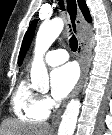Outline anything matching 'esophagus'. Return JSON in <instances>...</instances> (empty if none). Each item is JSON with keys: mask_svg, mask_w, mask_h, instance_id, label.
<instances>
[{"mask_svg": "<svg viewBox=\"0 0 112 135\" xmlns=\"http://www.w3.org/2000/svg\"><path fill=\"white\" fill-rule=\"evenodd\" d=\"M72 1H75L76 3V9L73 7H70V3ZM66 8L70 20V24L73 28V30L76 32L77 37L79 39V61L81 66V76L79 79V82L77 83L75 89L69 96V98H73L77 96L83 86V83L85 81L86 74L88 72L89 67V58H90V34L88 30L86 29V24L83 18V15L77 6L76 0H66ZM66 103H64L61 107V109L57 112L55 117L52 120V124L55 126L59 122V118L62 114L63 108L65 107Z\"/></svg>", "mask_w": 112, "mask_h": 135, "instance_id": "obj_1", "label": "esophagus"}]
</instances>
